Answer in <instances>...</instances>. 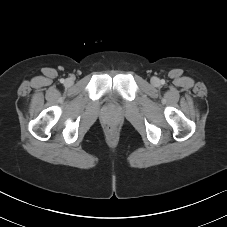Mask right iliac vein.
I'll use <instances>...</instances> for the list:
<instances>
[{"label": "right iliac vein", "mask_w": 227, "mask_h": 227, "mask_svg": "<svg viewBox=\"0 0 227 227\" xmlns=\"http://www.w3.org/2000/svg\"><path fill=\"white\" fill-rule=\"evenodd\" d=\"M65 84L67 86H71L73 84V80L71 78L66 79Z\"/></svg>", "instance_id": "1"}]
</instances>
